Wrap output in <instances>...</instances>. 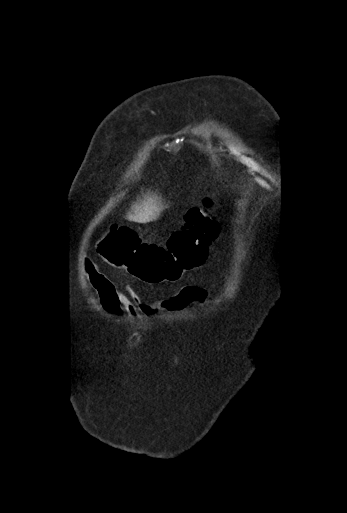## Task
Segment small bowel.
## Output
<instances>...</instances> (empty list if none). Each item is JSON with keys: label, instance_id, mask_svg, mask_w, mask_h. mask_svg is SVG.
Masks as SVG:
<instances>
[{"label": "small bowel", "instance_id": "obj_1", "mask_svg": "<svg viewBox=\"0 0 347 513\" xmlns=\"http://www.w3.org/2000/svg\"><path fill=\"white\" fill-rule=\"evenodd\" d=\"M83 272L100 297L105 309L113 314L120 315L123 312L130 317L139 318L154 316L160 309L180 307L188 304H204L208 300L206 287L198 285H187L181 287L168 301L146 303L139 293L131 286L124 291L114 287L109 278L101 272L95 264L86 259L83 264Z\"/></svg>", "mask_w": 347, "mask_h": 513}]
</instances>
